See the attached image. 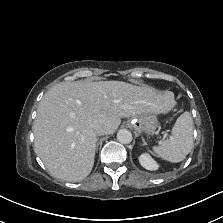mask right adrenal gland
<instances>
[{
    "mask_svg": "<svg viewBox=\"0 0 223 223\" xmlns=\"http://www.w3.org/2000/svg\"><path fill=\"white\" fill-rule=\"evenodd\" d=\"M97 149H98V144H97V147H96V151H97Z\"/></svg>",
    "mask_w": 223,
    "mask_h": 223,
    "instance_id": "right-adrenal-gland-1",
    "label": "right adrenal gland"
}]
</instances>
